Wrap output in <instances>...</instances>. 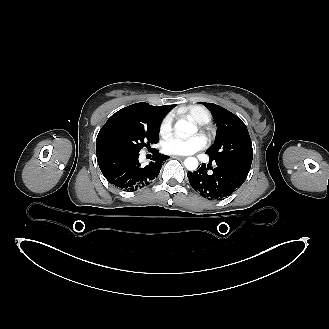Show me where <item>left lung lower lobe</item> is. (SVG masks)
<instances>
[{"mask_svg":"<svg viewBox=\"0 0 329 329\" xmlns=\"http://www.w3.org/2000/svg\"><path fill=\"white\" fill-rule=\"evenodd\" d=\"M215 162L216 167H211V175L207 174L208 167L206 169L205 164L197 171L187 173L192 188L208 200H221L231 195L245 182L250 171L233 163L218 160Z\"/></svg>","mask_w":329,"mask_h":329,"instance_id":"left-lung-lower-lobe-1","label":"left lung lower lobe"}]
</instances>
